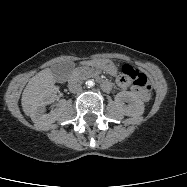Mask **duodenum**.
Segmentation results:
<instances>
[{"label": "duodenum", "instance_id": "obj_1", "mask_svg": "<svg viewBox=\"0 0 187 187\" xmlns=\"http://www.w3.org/2000/svg\"><path fill=\"white\" fill-rule=\"evenodd\" d=\"M101 87L105 90V91H109L112 87L111 83L107 80H103L101 82Z\"/></svg>", "mask_w": 187, "mask_h": 187}]
</instances>
